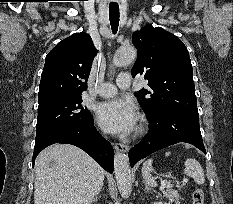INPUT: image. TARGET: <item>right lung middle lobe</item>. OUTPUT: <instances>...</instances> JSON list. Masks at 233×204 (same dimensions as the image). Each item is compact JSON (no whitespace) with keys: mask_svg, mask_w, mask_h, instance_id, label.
<instances>
[{"mask_svg":"<svg viewBox=\"0 0 233 204\" xmlns=\"http://www.w3.org/2000/svg\"><path fill=\"white\" fill-rule=\"evenodd\" d=\"M38 103L36 140L92 120L90 111L82 105L81 95L52 97Z\"/></svg>","mask_w":233,"mask_h":204,"instance_id":"right-lung-middle-lobe-1","label":"right lung middle lobe"}]
</instances>
